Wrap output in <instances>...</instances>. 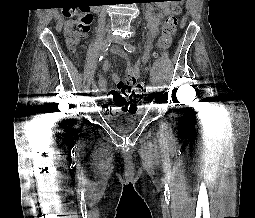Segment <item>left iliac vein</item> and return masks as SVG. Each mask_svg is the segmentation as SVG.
<instances>
[{
    "instance_id": "1",
    "label": "left iliac vein",
    "mask_w": 255,
    "mask_h": 218,
    "mask_svg": "<svg viewBox=\"0 0 255 218\" xmlns=\"http://www.w3.org/2000/svg\"><path fill=\"white\" fill-rule=\"evenodd\" d=\"M113 41L118 45H124V40L121 37H114ZM149 93V92H147Z\"/></svg>"
}]
</instances>
